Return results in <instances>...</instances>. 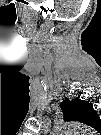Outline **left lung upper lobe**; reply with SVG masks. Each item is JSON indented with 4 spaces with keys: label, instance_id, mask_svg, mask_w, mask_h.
Returning a JSON list of instances; mask_svg holds the SVG:
<instances>
[{
    "label": "left lung upper lobe",
    "instance_id": "obj_1",
    "mask_svg": "<svg viewBox=\"0 0 101 135\" xmlns=\"http://www.w3.org/2000/svg\"><path fill=\"white\" fill-rule=\"evenodd\" d=\"M65 121H80L87 124L89 119L96 116V112L91 105L80 99L73 101L65 100L60 104Z\"/></svg>",
    "mask_w": 101,
    "mask_h": 135
}]
</instances>
